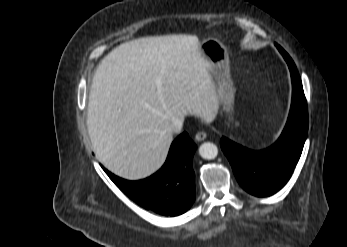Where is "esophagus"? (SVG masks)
<instances>
[{"label": "esophagus", "mask_w": 347, "mask_h": 247, "mask_svg": "<svg viewBox=\"0 0 347 247\" xmlns=\"http://www.w3.org/2000/svg\"><path fill=\"white\" fill-rule=\"evenodd\" d=\"M206 137H207L206 132L200 131L195 135V140L196 141H203L206 139Z\"/></svg>", "instance_id": "obj_1"}]
</instances>
